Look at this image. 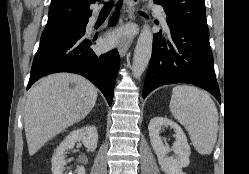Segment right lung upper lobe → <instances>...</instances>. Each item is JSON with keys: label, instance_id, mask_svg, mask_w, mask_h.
Here are the masks:
<instances>
[{"label": "right lung upper lobe", "instance_id": "right-lung-upper-lobe-1", "mask_svg": "<svg viewBox=\"0 0 249 174\" xmlns=\"http://www.w3.org/2000/svg\"><path fill=\"white\" fill-rule=\"evenodd\" d=\"M99 0H51L46 27L60 23L87 20L92 11L90 5Z\"/></svg>", "mask_w": 249, "mask_h": 174}]
</instances>
